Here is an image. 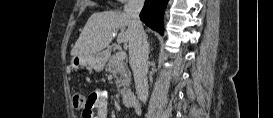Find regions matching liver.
Here are the masks:
<instances>
[{"instance_id":"6515ba94","label":"liver","mask_w":273,"mask_h":118,"mask_svg":"<svg viewBox=\"0 0 273 118\" xmlns=\"http://www.w3.org/2000/svg\"><path fill=\"white\" fill-rule=\"evenodd\" d=\"M130 18L124 12L104 11L96 12L86 22L78 40L71 50V55H90L101 52L113 40L117 30L121 29L117 37L118 43H123L124 48L130 39L129 26Z\"/></svg>"}]
</instances>
